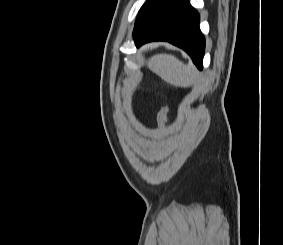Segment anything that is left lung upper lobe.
I'll return each mask as SVG.
<instances>
[{
	"label": "left lung upper lobe",
	"mask_w": 283,
	"mask_h": 245,
	"mask_svg": "<svg viewBox=\"0 0 283 245\" xmlns=\"http://www.w3.org/2000/svg\"><path fill=\"white\" fill-rule=\"evenodd\" d=\"M174 2L175 0H147L138 12L133 32L134 39L147 32Z\"/></svg>",
	"instance_id": "obj_1"
}]
</instances>
